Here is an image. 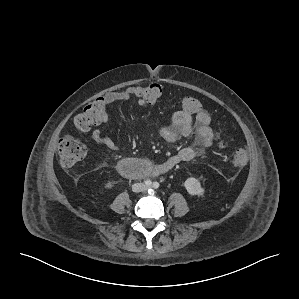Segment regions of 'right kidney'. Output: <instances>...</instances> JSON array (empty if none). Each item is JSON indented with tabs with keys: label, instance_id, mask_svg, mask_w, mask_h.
I'll use <instances>...</instances> for the list:
<instances>
[{
	"label": "right kidney",
	"instance_id": "right-kidney-1",
	"mask_svg": "<svg viewBox=\"0 0 299 299\" xmlns=\"http://www.w3.org/2000/svg\"><path fill=\"white\" fill-rule=\"evenodd\" d=\"M113 185H114V183L112 181H108L107 183H105L104 187L106 189H110L113 187Z\"/></svg>",
	"mask_w": 299,
	"mask_h": 299
}]
</instances>
